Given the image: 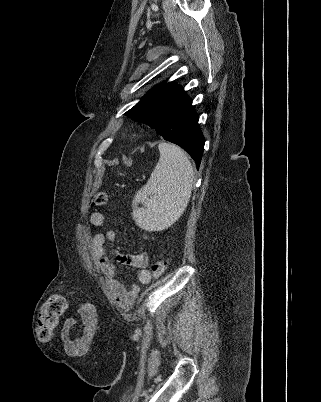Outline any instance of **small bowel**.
Returning a JSON list of instances; mask_svg holds the SVG:
<instances>
[{
	"label": "small bowel",
	"instance_id": "1",
	"mask_svg": "<svg viewBox=\"0 0 321 402\" xmlns=\"http://www.w3.org/2000/svg\"><path fill=\"white\" fill-rule=\"evenodd\" d=\"M108 221V217L101 211H95L90 215V223L95 228L104 226ZM115 232L109 230L105 233H97L92 238V249L94 257L109 281L110 288L114 298L119 306L124 310H129L137 299L141 291L142 284H148L151 281L150 272L147 269L148 256L141 254H124L119 250H115L113 257L117 263L128 265L138 269L137 282H133L127 287L117 277V266L115 262L105 254L104 244L106 240H115ZM144 240L148 237L143 235ZM81 326L78 332L79 338H65V349L72 358H83L84 353H87L88 347L91 345L92 336L95 329L98 327L96 318V310L92 302H83L78 309ZM75 317H69V320L62 321L64 333H68L69 329H75Z\"/></svg>",
	"mask_w": 321,
	"mask_h": 402
}]
</instances>
